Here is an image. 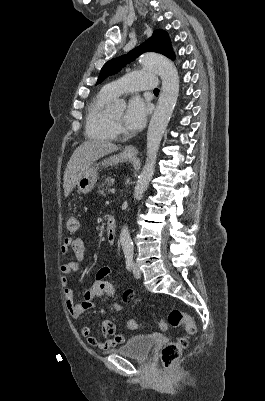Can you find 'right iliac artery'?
Instances as JSON below:
<instances>
[{"instance_id": "1", "label": "right iliac artery", "mask_w": 265, "mask_h": 401, "mask_svg": "<svg viewBox=\"0 0 265 401\" xmlns=\"http://www.w3.org/2000/svg\"><path fill=\"white\" fill-rule=\"evenodd\" d=\"M133 258L131 256L126 257V268L128 271L132 270Z\"/></svg>"}]
</instances>
